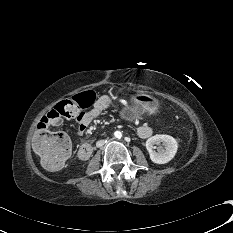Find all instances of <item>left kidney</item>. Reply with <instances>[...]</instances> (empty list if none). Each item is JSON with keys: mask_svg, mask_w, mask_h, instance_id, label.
Wrapping results in <instances>:
<instances>
[{"mask_svg": "<svg viewBox=\"0 0 233 233\" xmlns=\"http://www.w3.org/2000/svg\"><path fill=\"white\" fill-rule=\"evenodd\" d=\"M162 142L163 148H158L157 152L153 150V145ZM146 148L149 152L150 159L156 164H165L171 161L178 149L177 141L169 135H155L147 139Z\"/></svg>", "mask_w": 233, "mask_h": 233, "instance_id": "1", "label": "left kidney"}]
</instances>
